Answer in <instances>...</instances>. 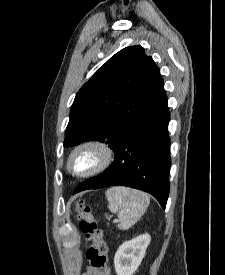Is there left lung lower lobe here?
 Segmentation results:
<instances>
[{"mask_svg":"<svg viewBox=\"0 0 225 275\" xmlns=\"http://www.w3.org/2000/svg\"><path fill=\"white\" fill-rule=\"evenodd\" d=\"M164 89L128 128L113 150L115 160L102 174L80 185L86 189L122 185L152 194L165 208L169 195L170 113Z\"/></svg>","mask_w":225,"mask_h":275,"instance_id":"obj_1","label":"left lung lower lobe"}]
</instances>
